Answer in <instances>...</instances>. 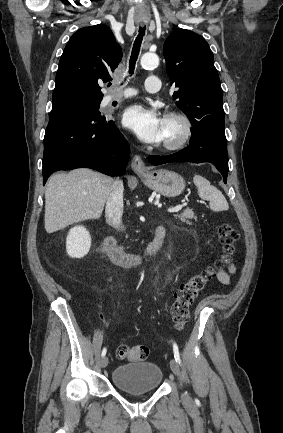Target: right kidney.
<instances>
[{
  "mask_svg": "<svg viewBox=\"0 0 283 433\" xmlns=\"http://www.w3.org/2000/svg\"><path fill=\"white\" fill-rule=\"evenodd\" d=\"M91 236L83 226L70 229L66 239V250L72 258H82L90 250Z\"/></svg>",
  "mask_w": 283,
  "mask_h": 433,
  "instance_id": "ca27d5eb",
  "label": "right kidney"
}]
</instances>
